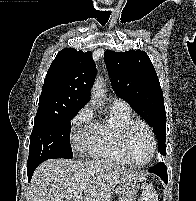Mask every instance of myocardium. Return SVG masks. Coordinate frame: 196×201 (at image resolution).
<instances>
[{"label":"myocardium","instance_id":"obj_1","mask_svg":"<svg viewBox=\"0 0 196 201\" xmlns=\"http://www.w3.org/2000/svg\"><path fill=\"white\" fill-rule=\"evenodd\" d=\"M137 125L143 126L147 130V132L149 133V136L151 139L150 155L147 158V160H145L144 162H142L140 164H136V163H133L131 161L130 152H129V145H128L129 134H130L131 130ZM120 143H121L122 151H123V153L127 159L128 164L133 166V167H144V166L148 165L152 161V159L154 158L156 151H157L156 134H155L153 128L150 126V124L147 123L146 121L142 120V119L134 118V119L130 120L129 122H127L123 126V128L121 130Z\"/></svg>","mask_w":196,"mask_h":201}]
</instances>
